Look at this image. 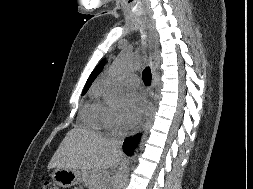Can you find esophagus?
Here are the masks:
<instances>
[{"label":"esophagus","mask_w":253,"mask_h":189,"mask_svg":"<svg viewBox=\"0 0 253 189\" xmlns=\"http://www.w3.org/2000/svg\"><path fill=\"white\" fill-rule=\"evenodd\" d=\"M148 28L150 32V50H149V56H150V64H151V70L153 74V81H152V92H151V100L148 105V109L146 111L145 117L143 118L142 122L139 124V126L131 133V135H135L138 132H140L144 126L149 121L153 111H154V103H155V88H156V80H155V74L159 67L160 63V56H159V45L157 40V35L155 32V29L153 25L148 21Z\"/></svg>","instance_id":"34e87169"}]
</instances>
